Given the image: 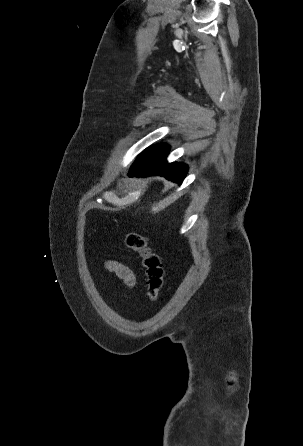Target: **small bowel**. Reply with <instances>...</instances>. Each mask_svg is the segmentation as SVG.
Wrapping results in <instances>:
<instances>
[{
  "mask_svg": "<svg viewBox=\"0 0 303 446\" xmlns=\"http://www.w3.org/2000/svg\"><path fill=\"white\" fill-rule=\"evenodd\" d=\"M108 267L111 271L115 272L128 286L131 287L134 285L135 276L130 268L118 262H110Z\"/></svg>",
  "mask_w": 303,
  "mask_h": 446,
  "instance_id": "small-bowel-1",
  "label": "small bowel"
}]
</instances>
